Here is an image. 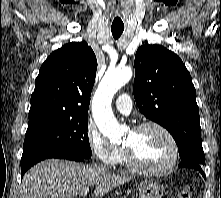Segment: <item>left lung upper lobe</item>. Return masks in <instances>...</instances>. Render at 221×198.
<instances>
[{
  "mask_svg": "<svg viewBox=\"0 0 221 198\" xmlns=\"http://www.w3.org/2000/svg\"><path fill=\"white\" fill-rule=\"evenodd\" d=\"M133 93L140 112L165 127L182 161L203 166L196 90L182 60L160 45H144L135 55Z\"/></svg>",
  "mask_w": 221,
  "mask_h": 198,
  "instance_id": "1",
  "label": "left lung upper lobe"
}]
</instances>
